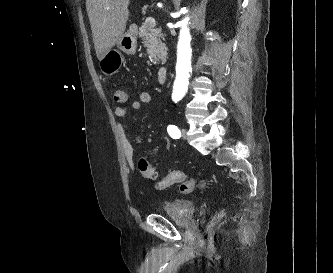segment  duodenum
<instances>
[{
  "label": "duodenum",
  "mask_w": 333,
  "mask_h": 273,
  "mask_svg": "<svg viewBox=\"0 0 333 273\" xmlns=\"http://www.w3.org/2000/svg\"><path fill=\"white\" fill-rule=\"evenodd\" d=\"M157 81L159 85H165L167 83V69L165 67L160 69Z\"/></svg>",
  "instance_id": "duodenum-1"
}]
</instances>
